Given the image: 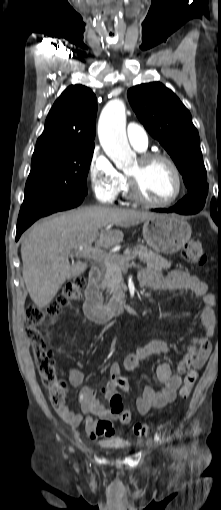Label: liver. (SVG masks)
I'll return each instance as SVG.
<instances>
[{"label": "liver", "instance_id": "1", "mask_svg": "<svg viewBox=\"0 0 221 510\" xmlns=\"http://www.w3.org/2000/svg\"><path fill=\"white\" fill-rule=\"evenodd\" d=\"M156 215L134 209L92 206L35 223L24 233L21 245L23 279L34 304L46 307L66 280L86 271V263L70 264L74 251L83 256L93 242L98 249L111 248L124 237L121 230L111 228L113 225L131 227Z\"/></svg>", "mask_w": 221, "mask_h": 510}]
</instances>
